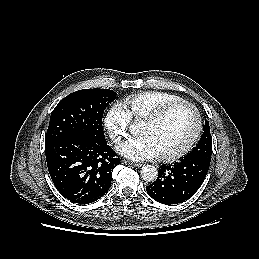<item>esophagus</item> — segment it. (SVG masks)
<instances>
[{"mask_svg":"<svg viewBox=\"0 0 259 259\" xmlns=\"http://www.w3.org/2000/svg\"><path fill=\"white\" fill-rule=\"evenodd\" d=\"M123 163L124 164H130V165H132L134 167H141L142 166V164H140V163H133V162H129L127 160H123Z\"/></svg>","mask_w":259,"mask_h":259,"instance_id":"1","label":"esophagus"}]
</instances>
